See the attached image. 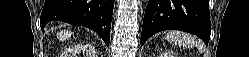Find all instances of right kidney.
<instances>
[{
    "label": "right kidney",
    "mask_w": 249,
    "mask_h": 57,
    "mask_svg": "<svg viewBox=\"0 0 249 57\" xmlns=\"http://www.w3.org/2000/svg\"><path fill=\"white\" fill-rule=\"evenodd\" d=\"M76 56V51H71L69 53H63L62 57H74Z\"/></svg>",
    "instance_id": "right-kidney-1"
}]
</instances>
